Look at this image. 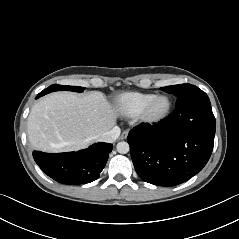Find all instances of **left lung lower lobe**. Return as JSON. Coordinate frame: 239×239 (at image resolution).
Returning <instances> with one entry per match:
<instances>
[{
    "instance_id": "left-lung-lower-lobe-1",
    "label": "left lung lower lobe",
    "mask_w": 239,
    "mask_h": 239,
    "mask_svg": "<svg viewBox=\"0 0 239 239\" xmlns=\"http://www.w3.org/2000/svg\"><path fill=\"white\" fill-rule=\"evenodd\" d=\"M216 121L207 95L175 106L151 126L141 123L127 137L137 174L159 186L183 183L203 169L213 150Z\"/></svg>"
}]
</instances>
